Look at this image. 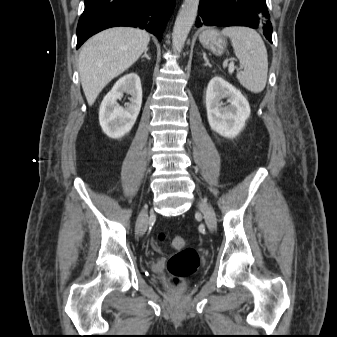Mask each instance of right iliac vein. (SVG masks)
<instances>
[{"label":"right iliac vein","mask_w":337,"mask_h":337,"mask_svg":"<svg viewBox=\"0 0 337 337\" xmlns=\"http://www.w3.org/2000/svg\"><path fill=\"white\" fill-rule=\"evenodd\" d=\"M148 212L146 208H143L138 216L137 223H136V232L138 235L142 236L148 226Z\"/></svg>","instance_id":"63e3f726"}]
</instances>
